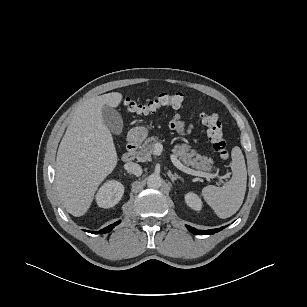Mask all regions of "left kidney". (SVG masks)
<instances>
[{
    "instance_id": "1",
    "label": "left kidney",
    "mask_w": 307,
    "mask_h": 307,
    "mask_svg": "<svg viewBox=\"0 0 307 307\" xmlns=\"http://www.w3.org/2000/svg\"><path fill=\"white\" fill-rule=\"evenodd\" d=\"M185 201L187 205L195 211H200L202 209L201 199L193 192H189L185 195Z\"/></svg>"
}]
</instances>
